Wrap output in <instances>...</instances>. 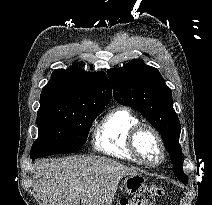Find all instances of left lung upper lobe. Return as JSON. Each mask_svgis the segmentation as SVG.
Wrapping results in <instances>:
<instances>
[{
    "mask_svg": "<svg viewBox=\"0 0 212 205\" xmlns=\"http://www.w3.org/2000/svg\"><path fill=\"white\" fill-rule=\"evenodd\" d=\"M113 94L119 104L130 106L154 126L164 141L175 176L188 182L182 170V149L179 145L180 122L173 109L171 89L159 71L135 59L118 69L107 71Z\"/></svg>",
    "mask_w": 212,
    "mask_h": 205,
    "instance_id": "5c2ea615",
    "label": "left lung upper lobe"
}]
</instances>
